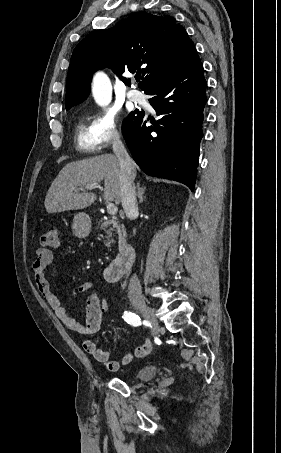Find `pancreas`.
Instances as JSON below:
<instances>
[{"label": "pancreas", "mask_w": 281, "mask_h": 453, "mask_svg": "<svg viewBox=\"0 0 281 453\" xmlns=\"http://www.w3.org/2000/svg\"><path fill=\"white\" fill-rule=\"evenodd\" d=\"M99 229H103L109 237H112V231H118L119 239H125L126 237L124 224H120L118 218H108V220L101 218Z\"/></svg>", "instance_id": "cf45deb5"}]
</instances>
